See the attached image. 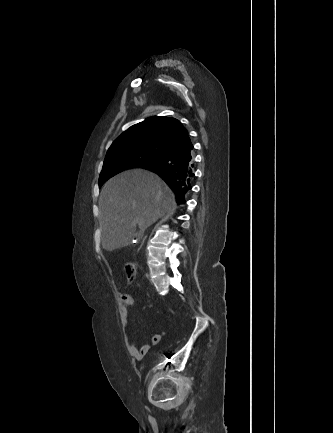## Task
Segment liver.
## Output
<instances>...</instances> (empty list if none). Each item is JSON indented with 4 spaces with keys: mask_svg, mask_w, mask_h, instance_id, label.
<instances>
[{
    "mask_svg": "<svg viewBox=\"0 0 333 433\" xmlns=\"http://www.w3.org/2000/svg\"><path fill=\"white\" fill-rule=\"evenodd\" d=\"M175 209L172 190L156 174L132 169L116 175L103 186L99 200L102 247L114 251L131 245L136 221L143 233Z\"/></svg>",
    "mask_w": 333,
    "mask_h": 433,
    "instance_id": "obj_1",
    "label": "liver"
}]
</instances>
